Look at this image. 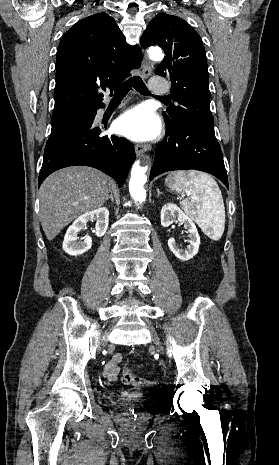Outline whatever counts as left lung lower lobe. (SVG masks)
Instances as JSON below:
<instances>
[{"label":"left lung lower lobe","instance_id":"left-lung-lower-lobe-1","mask_svg":"<svg viewBox=\"0 0 279 465\" xmlns=\"http://www.w3.org/2000/svg\"><path fill=\"white\" fill-rule=\"evenodd\" d=\"M182 169L210 173L229 188L222 152L215 136L189 125L167 127L166 138L156 150L150 180L164 172Z\"/></svg>","mask_w":279,"mask_h":465}]
</instances>
